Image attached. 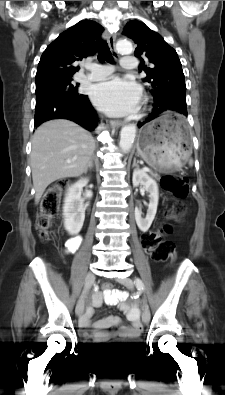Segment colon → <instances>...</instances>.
Returning a JSON list of instances; mask_svg holds the SVG:
<instances>
[{"label": "colon", "instance_id": "1", "mask_svg": "<svg viewBox=\"0 0 225 395\" xmlns=\"http://www.w3.org/2000/svg\"><path fill=\"white\" fill-rule=\"evenodd\" d=\"M161 184L175 198V203L167 211L166 218L168 221L178 222L183 218L186 211L184 200L189 192V180L184 175L168 174L161 178ZM67 185L66 180L54 182L47 188L39 202L36 228L42 241H47L50 238L53 221L59 213L60 197ZM171 231V224L163 222L156 230L143 237V246L155 261L167 262L175 259V244L170 240L163 239ZM102 287L109 290L112 287V282L103 281Z\"/></svg>", "mask_w": 225, "mask_h": 395}]
</instances>
